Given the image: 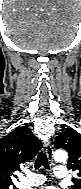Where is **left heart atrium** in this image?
Instances as JSON below:
<instances>
[{"label": "left heart atrium", "mask_w": 81, "mask_h": 189, "mask_svg": "<svg viewBox=\"0 0 81 189\" xmlns=\"http://www.w3.org/2000/svg\"><path fill=\"white\" fill-rule=\"evenodd\" d=\"M44 189H57V188L54 187V186H48V187H46V188H44Z\"/></svg>", "instance_id": "39dd6f15"}]
</instances>
